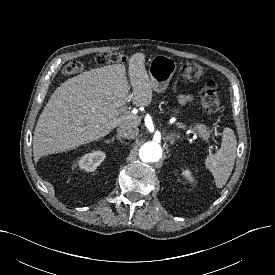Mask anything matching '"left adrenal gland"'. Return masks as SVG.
<instances>
[{"instance_id":"left-adrenal-gland-1","label":"left adrenal gland","mask_w":275,"mask_h":275,"mask_svg":"<svg viewBox=\"0 0 275 275\" xmlns=\"http://www.w3.org/2000/svg\"><path fill=\"white\" fill-rule=\"evenodd\" d=\"M176 137H178V135L173 133L171 135H167L166 139L170 141V144H174Z\"/></svg>"}]
</instances>
